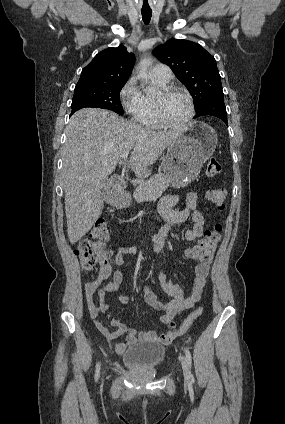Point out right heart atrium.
Listing matches in <instances>:
<instances>
[{"instance_id":"right-heart-atrium-1","label":"right heart atrium","mask_w":285,"mask_h":424,"mask_svg":"<svg viewBox=\"0 0 285 424\" xmlns=\"http://www.w3.org/2000/svg\"><path fill=\"white\" fill-rule=\"evenodd\" d=\"M119 99L125 113L132 120L141 121L145 111V96L141 92L135 77H130L122 86Z\"/></svg>"}]
</instances>
